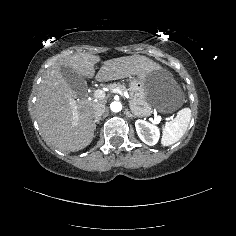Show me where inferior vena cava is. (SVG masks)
<instances>
[{
	"mask_svg": "<svg viewBox=\"0 0 236 236\" xmlns=\"http://www.w3.org/2000/svg\"><path fill=\"white\" fill-rule=\"evenodd\" d=\"M105 112V105L101 103H96L93 105L92 117L97 121L99 117ZM94 120V121H95Z\"/></svg>",
	"mask_w": 236,
	"mask_h": 236,
	"instance_id": "602c4592",
	"label": "inferior vena cava"
}]
</instances>
